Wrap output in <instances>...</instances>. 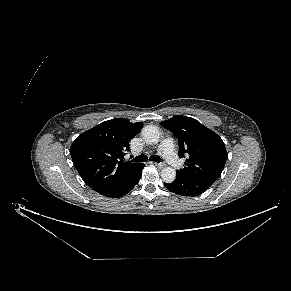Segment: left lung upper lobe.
I'll return each instance as SVG.
<instances>
[{"label": "left lung upper lobe", "instance_id": "5c2ea615", "mask_svg": "<svg viewBox=\"0 0 291 291\" xmlns=\"http://www.w3.org/2000/svg\"><path fill=\"white\" fill-rule=\"evenodd\" d=\"M178 139L179 156L187 157L185 167L177 173L190 179H217L228 158L224 142L212 130L194 118L176 115L160 123Z\"/></svg>", "mask_w": 291, "mask_h": 291}]
</instances>
